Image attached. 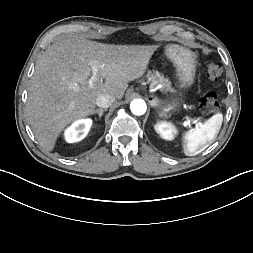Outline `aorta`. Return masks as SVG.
<instances>
[{
  "label": "aorta",
  "mask_w": 253,
  "mask_h": 253,
  "mask_svg": "<svg viewBox=\"0 0 253 253\" xmlns=\"http://www.w3.org/2000/svg\"><path fill=\"white\" fill-rule=\"evenodd\" d=\"M130 109L134 115H143L147 110V105L142 99H134L130 103Z\"/></svg>",
  "instance_id": "762f6f07"
}]
</instances>
